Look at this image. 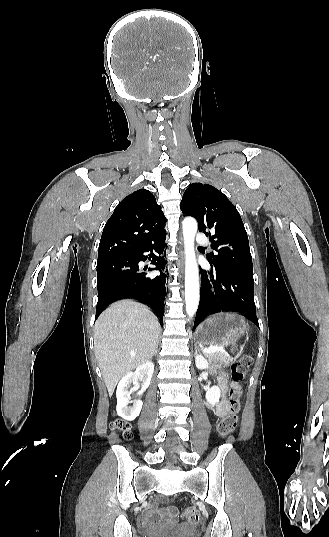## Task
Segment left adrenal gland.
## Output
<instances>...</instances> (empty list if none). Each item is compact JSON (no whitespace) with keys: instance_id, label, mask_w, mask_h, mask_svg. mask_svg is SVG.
Listing matches in <instances>:
<instances>
[{"instance_id":"1","label":"left adrenal gland","mask_w":329,"mask_h":537,"mask_svg":"<svg viewBox=\"0 0 329 537\" xmlns=\"http://www.w3.org/2000/svg\"><path fill=\"white\" fill-rule=\"evenodd\" d=\"M198 351H200V349L198 348L197 344H195V353H197Z\"/></svg>"}]
</instances>
